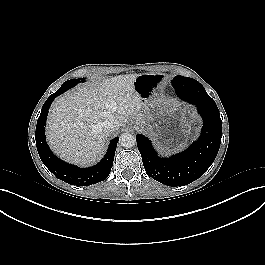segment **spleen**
Returning <instances> with one entry per match:
<instances>
[{"label": "spleen", "mask_w": 265, "mask_h": 265, "mask_svg": "<svg viewBox=\"0 0 265 265\" xmlns=\"http://www.w3.org/2000/svg\"><path fill=\"white\" fill-rule=\"evenodd\" d=\"M185 146H186V143H182L177 148H175L174 151L181 150V149L185 148Z\"/></svg>", "instance_id": "3e777b00"}]
</instances>
